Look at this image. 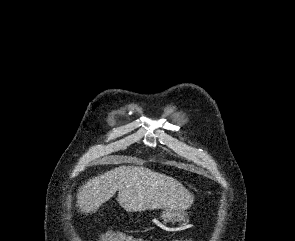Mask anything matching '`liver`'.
<instances>
[{
  "label": "liver",
  "mask_w": 295,
  "mask_h": 241,
  "mask_svg": "<svg viewBox=\"0 0 295 241\" xmlns=\"http://www.w3.org/2000/svg\"><path fill=\"white\" fill-rule=\"evenodd\" d=\"M118 191L117 201L128 212L164 208L184 211L193 195L177 180L143 166H119L102 173L79 188L77 207L95 213Z\"/></svg>",
  "instance_id": "1"
}]
</instances>
